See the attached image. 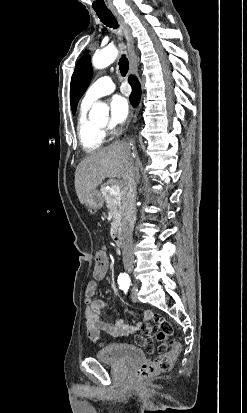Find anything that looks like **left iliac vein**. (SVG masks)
I'll return each instance as SVG.
<instances>
[{
    "mask_svg": "<svg viewBox=\"0 0 247 413\" xmlns=\"http://www.w3.org/2000/svg\"><path fill=\"white\" fill-rule=\"evenodd\" d=\"M131 298H132L133 302H137V292L136 291L132 292Z\"/></svg>",
    "mask_w": 247,
    "mask_h": 413,
    "instance_id": "1",
    "label": "left iliac vein"
}]
</instances>
